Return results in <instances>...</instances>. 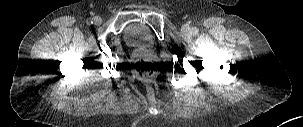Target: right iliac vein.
I'll return each mask as SVG.
<instances>
[{"label": "right iliac vein", "mask_w": 303, "mask_h": 127, "mask_svg": "<svg viewBox=\"0 0 303 127\" xmlns=\"http://www.w3.org/2000/svg\"><path fill=\"white\" fill-rule=\"evenodd\" d=\"M93 22H94L95 25H100L102 23V19L99 16H95L93 18Z\"/></svg>", "instance_id": "right-iliac-vein-1"}]
</instances>
